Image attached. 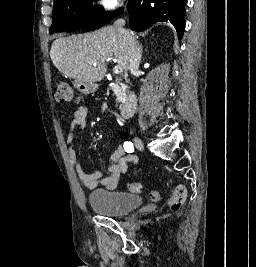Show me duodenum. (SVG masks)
<instances>
[{
	"instance_id": "obj_1",
	"label": "duodenum",
	"mask_w": 256,
	"mask_h": 267,
	"mask_svg": "<svg viewBox=\"0 0 256 267\" xmlns=\"http://www.w3.org/2000/svg\"><path fill=\"white\" fill-rule=\"evenodd\" d=\"M101 81L98 78H77L74 83L75 90H80V94H94V90H100ZM106 87L105 85L103 86ZM136 95L127 92L120 104L119 113L123 118H130L134 114Z\"/></svg>"
}]
</instances>
